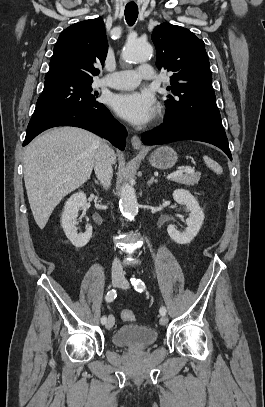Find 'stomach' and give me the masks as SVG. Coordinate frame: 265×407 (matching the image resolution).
Returning <instances> with one entry per match:
<instances>
[{
    "mask_svg": "<svg viewBox=\"0 0 265 407\" xmlns=\"http://www.w3.org/2000/svg\"><path fill=\"white\" fill-rule=\"evenodd\" d=\"M177 153L168 146L157 148L149 157L150 164L158 169H169L177 162Z\"/></svg>",
    "mask_w": 265,
    "mask_h": 407,
    "instance_id": "obj_1",
    "label": "stomach"
}]
</instances>
